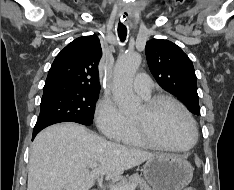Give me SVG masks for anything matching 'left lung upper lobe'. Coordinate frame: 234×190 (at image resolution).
I'll return each instance as SVG.
<instances>
[{"label": "left lung upper lobe", "mask_w": 234, "mask_h": 190, "mask_svg": "<svg viewBox=\"0 0 234 190\" xmlns=\"http://www.w3.org/2000/svg\"><path fill=\"white\" fill-rule=\"evenodd\" d=\"M146 58L159 85L178 97L194 114H200L197 77L192 61L175 43L152 39L146 43Z\"/></svg>", "instance_id": "5c2ea615"}]
</instances>
